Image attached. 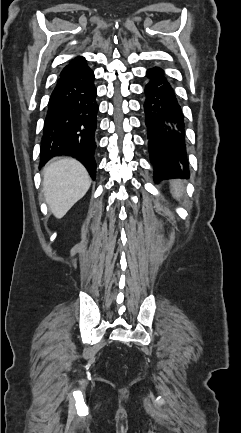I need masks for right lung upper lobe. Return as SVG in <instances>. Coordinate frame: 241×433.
<instances>
[{
    "instance_id": "1",
    "label": "right lung upper lobe",
    "mask_w": 241,
    "mask_h": 433,
    "mask_svg": "<svg viewBox=\"0 0 241 433\" xmlns=\"http://www.w3.org/2000/svg\"><path fill=\"white\" fill-rule=\"evenodd\" d=\"M84 62V58L83 57H76L73 60L70 61V63L62 70V72L60 73V75L66 73L67 71H69L70 69H72L73 67L77 66L78 64Z\"/></svg>"
}]
</instances>
